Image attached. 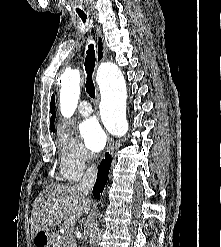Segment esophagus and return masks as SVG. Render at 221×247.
I'll return each instance as SVG.
<instances>
[{
  "mask_svg": "<svg viewBox=\"0 0 221 247\" xmlns=\"http://www.w3.org/2000/svg\"><path fill=\"white\" fill-rule=\"evenodd\" d=\"M107 54V49L105 46V42H104V37L102 35V32L100 31L99 28H97V53H96V60L97 63H101ZM98 98V95H97ZM107 150L112 153L114 151V140L112 139V137H110L108 135V146H107Z\"/></svg>",
  "mask_w": 221,
  "mask_h": 247,
  "instance_id": "1",
  "label": "esophagus"
}]
</instances>
